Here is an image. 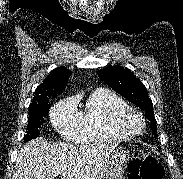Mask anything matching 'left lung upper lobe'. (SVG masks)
<instances>
[{
    "mask_svg": "<svg viewBox=\"0 0 183 179\" xmlns=\"http://www.w3.org/2000/svg\"><path fill=\"white\" fill-rule=\"evenodd\" d=\"M98 76L113 90L124 96L127 100L145 111L146 117L151 122L154 135L156 133V119L152 111V101L147 89L129 69L121 66H108L98 71Z\"/></svg>",
    "mask_w": 183,
    "mask_h": 179,
    "instance_id": "1",
    "label": "left lung upper lobe"
}]
</instances>
